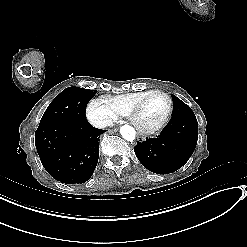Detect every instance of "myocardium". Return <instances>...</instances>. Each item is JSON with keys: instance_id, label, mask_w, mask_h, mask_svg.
I'll use <instances>...</instances> for the list:
<instances>
[{"instance_id": "myocardium-1", "label": "myocardium", "mask_w": 247, "mask_h": 247, "mask_svg": "<svg viewBox=\"0 0 247 247\" xmlns=\"http://www.w3.org/2000/svg\"><path fill=\"white\" fill-rule=\"evenodd\" d=\"M153 95H161L163 97L166 98L167 100V106H166V110L165 113L163 115V117L156 123H147L145 120V115L143 112V106H144V101ZM134 107L136 108L137 112H138V117L135 120V125L136 128L138 129V131L141 134H149V133H153L157 130H159L160 128H162L167 121L170 119L171 115H172V107H173V101L171 99V97L160 90H151L145 99L139 100L135 103Z\"/></svg>"}]
</instances>
